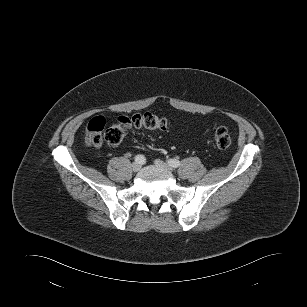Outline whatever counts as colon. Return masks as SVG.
<instances>
[{
	"label": "colon",
	"mask_w": 307,
	"mask_h": 307,
	"mask_svg": "<svg viewBox=\"0 0 307 307\" xmlns=\"http://www.w3.org/2000/svg\"><path fill=\"white\" fill-rule=\"evenodd\" d=\"M168 127L166 119L146 112L132 116H120L109 128L105 129V120L101 116L92 118L87 125V140L94 146H99L104 140L110 145L121 143L131 128L149 130H165ZM214 142L220 149L231 145V136L225 127H218L214 132Z\"/></svg>",
	"instance_id": "1"
}]
</instances>
